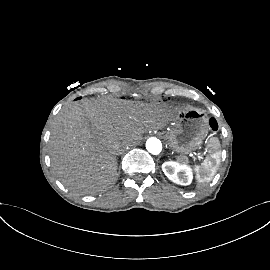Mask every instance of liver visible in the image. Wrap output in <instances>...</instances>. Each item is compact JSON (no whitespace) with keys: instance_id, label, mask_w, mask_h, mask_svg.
<instances>
[{"instance_id":"liver-1","label":"liver","mask_w":270,"mask_h":270,"mask_svg":"<svg viewBox=\"0 0 270 270\" xmlns=\"http://www.w3.org/2000/svg\"><path fill=\"white\" fill-rule=\"evenodd\" d=\"M161 105L121 99L83 100L62 110L53 122L50 150L53 168L71 188L89 191L116 180V152L148 130L167 122Z\"/></svg>"}]
</instances>
